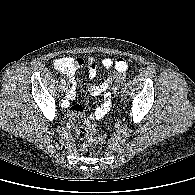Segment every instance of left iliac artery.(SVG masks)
I'll use <instances>...</instances> for the list:
<instances>
[{
  "instance_id": "obj_1",
  "label": "left iliac artery",
  "mask_w": 195,
  "mask_h": 195,
  "mask_svg": "<svg viewBox=\"0 0 195 195\" xmlns=\"http://www.w3.org/2000/svg\"><path fill=\"white\" fill-rule=\"evenodd\" d=\"M128 86H129V83H126V84H125V88H127Z\"/></svg>"
}]
</instances>
